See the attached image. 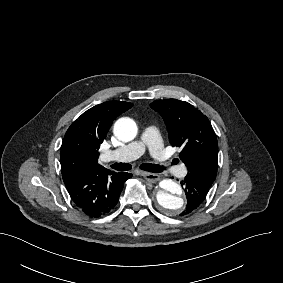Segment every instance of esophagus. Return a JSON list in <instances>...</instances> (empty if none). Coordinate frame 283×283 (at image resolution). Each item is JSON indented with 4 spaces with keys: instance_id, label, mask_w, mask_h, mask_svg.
Returning a JSON list of instances; mask_svg holds the SVG:
<instances>
[{
    "instance_id": "34e87169",
    "label": "esophagus",
    "mask_w": 283,
    "mask_h": 283,
    "mask_svg": "<svg viewBox=\"0 0 283 283\" xmlns=\"http://www.w3.org/2000/svg\"><path fill=\"white\" fill-rule=\"evenodd\" d=\"M136 174L143 176L147 181L155 183L160 180V176L156 173L137 171Z\"/></svg>"
}]
</instances>
